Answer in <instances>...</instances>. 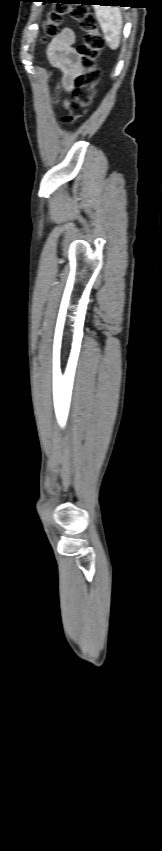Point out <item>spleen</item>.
<instances>
[{
	"label": "spleen",
	"instance_id": "obj_1",
	"mask_svg": "<svg viewBox=\"0 0 162 851\" xmlns=\"http://www.w3.org/2000/svg\"><path fill=\"white\" fill-rule=\"evenodd\" d=\"M97 20L104 33L108 46L115 50L119 47L123 25L122 15L118 7H94Z\"/></svg>",
	"mask_w": 162,
	"mask_h": 851
}]
</instances>
